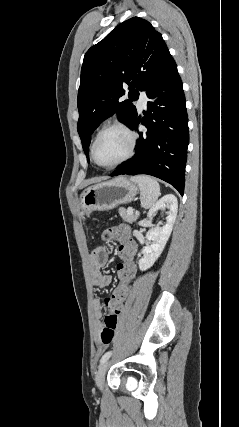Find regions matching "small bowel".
<instances>
[{"mask_svg": "<svg viewBox=\"0 0 239 427\" xmlns=\"http://www.w3.org/2000/svg\"><path fill=\"white\" fill-rule=\"evenodd\" d=\"M109 257V249L106 247L95 248L89 255V266L92 276L93 286L96 288H105L112 282V276L103 272ZM126 300V298H125ZM104 301L100 298H95L93 301L94 317L97 320V328L101 327V318L103 316ZM123 306V305H122Z\"/></svg>", "mask_w": 239, "mask_h": 427, "instance_id": "small-bowel-1", "label": "small bowel"}]
</instances>
